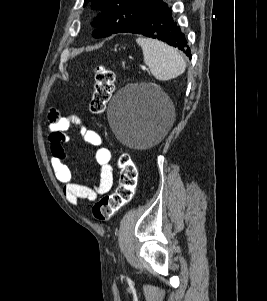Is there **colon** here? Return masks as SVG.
<instances>
[{"label": "colon", "mask_w": 267, "mask_h": 301, "mask_svg": "<svg viewBox=\"0 0 267 301\" xmlns=\"http://www.w3.org/2000/svg\"><path fill=\"white\" fill-rule=\"evenodd\" d=\"M115 74L105 65L95 69V87L90 103V111L100 116L106 109L114 91ZM120 170L119 184L110 195L104 196L93 206V216L101 222L108 221L134 196L137 186L138 171L129 155L122 154L118 159Z\"/></svg>", "instance_id": "colon-1"}]
</instances>
